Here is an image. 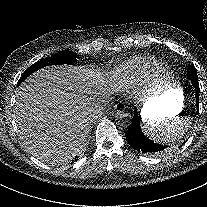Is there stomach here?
Returning a JSON list of instances; mask_svg holds the SVG:
<instances>
[{
    "label": "stomach",
    "instance_id": "obj_1",
    "mask_svg": "<svg viewBox=\"0 0 207 207\" xmlns=\"http://www.w3.org/2000/svg\"><path fill=\"white\" fill-rule=\"evenodd\" d=\"M183 91L176 84H171L160 95L146 101L141 115L144 122H157L178 115L183 107Z\"/></svg>",
    "mask_w": 207,
    "mask_h": 207
}]
</instances>
